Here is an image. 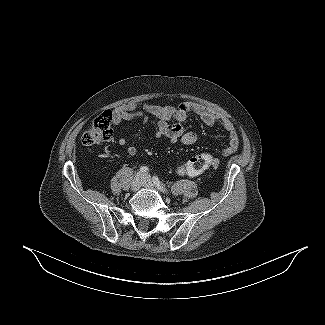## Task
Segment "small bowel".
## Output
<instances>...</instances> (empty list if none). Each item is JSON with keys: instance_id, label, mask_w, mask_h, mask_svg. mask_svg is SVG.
Wrapping results in <instances>:
<instances>
[{"instance_id": "small-bowel-1", "label": "small bowel", "mask_w": 325, "mask_h": 325, "mask_svg": "<svg viewBox=\"0 0 325 325\" xmlns=\"http://www.w3.org/2000/svg\"><path fill=\"white\" fill-rule=\"evenodd\" d=\"M137 104L123 105L113 112V122L119 125L123 121L140 119L143 123L148 121V115H152L157 121L156 136L165 138L170 143H181L184 145H193L198 141L196 133L187 131L184 122L190 114L197 115L204 123L209 126H220L229 135L228 146L223 150L225 154L233 153L239 146V138L234 125L227 119L220 116L215 111L201 105L191 102H184L177 106L140 104V110H137ZM118 144L123 147L129 155H136L137 148L129 145L125 138H120ZM190 159L183 164L188 167ZM217 162L213 160L212 165ZM188 176H196L187 174Z\"/></svg>"}]
</instances>
